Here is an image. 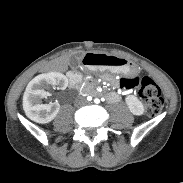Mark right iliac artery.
<instances>
[{
	"label": "right iliac artery",
	"mask_w": 183,
	"mask_h": 183,
	"mask_svg": "<svg viewBox=\"0 0 183 183\" xmlns=\"http://www.w3.org/2000/svg\"><path fill=\"white\" fill-rule=\"evenodd\" d=\"M87 100H88V101H91V100H92V97H91V96H88V97H87Z\"/></svg>",
	"instance_id": "right-iliac-artery-1"
}]
</instances>
